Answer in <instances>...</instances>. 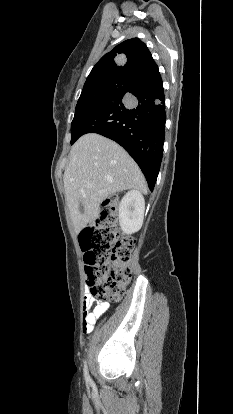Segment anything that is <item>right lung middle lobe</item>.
<instances>
[{
  "label": "right lung middle lobe",
  "mask_w": 233,
  "mask_h": 414,
  "mask_svg": "<svg viewBox=\"0 0 233 414\" xmlns=\"http://www.w3.org/2000/svg\"><path fill=\"white\" fill-rule=\"evenodd\" d=\"M132 83L131 80L116 76H106L85 83L71 124L70 143L73 144L78 139V128L92 111L125 94Z\"/></svg>",
  "instance_id": "obj_1"
}]
</instances>
